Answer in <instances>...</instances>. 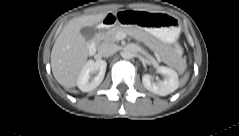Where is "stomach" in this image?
<instances>
[{
	"label": "stomach",
	"instance_id": "1",
	"mask_svg": "<svg viewBox=\"0 0 239 136\" xmlns=\"http://www.w3.org/2000/svg\"><path fill=\"white\" fill-rule=\"evenodd\" d=\"M117 23L124 26H138L166 44H174L180 34L177 20L163 13L118 11Z\"/></svg>",
	"mask_w": 239,
	"mask_h": 136
}]
</instances>
